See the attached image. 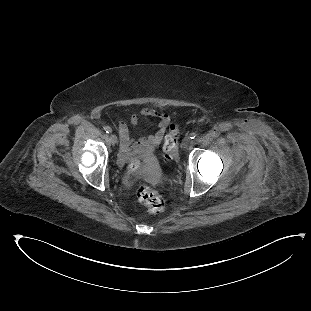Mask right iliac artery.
Returning a JSON list of instances; mask_svg holds the SVG:
<instances>
[{
	"instance_id": "obj_1",
	"label": "right iliac artery",
	"mask_w": 311,
	"mask_h": 311,
	"mask_svg": "<svg viewBox=\"0 0 311 311\" xmlns=\"http://www.w3.org/2000/svg\"><path fill=\"white\" fill-rule=\"evenodd\" d=\"M104 130L106 131V133H111L112 132V129L109 126H106L104 128Z\"/></svg>"
}]
</instances>
